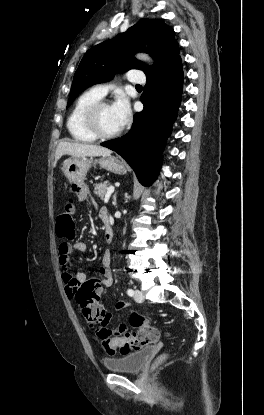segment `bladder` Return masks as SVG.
Here are the masks:
<instances>
[{
  "label": "bladder",
  "mask_w": 264,
  "mask_h": 415,
  "mask_svg": "<svg viewBox=\"0 0 264 415\" xmlns=\"http://www.w3.org/2000/svg\"><path fill=\"white\" fill-rule=\"evenodd\" d=\"M155 350V345L146 346L119 358H106L103 364L107 370L113 372L138 373L142 370Z\"/></svg>",
  "instance_id": "31cf9c89"
}]
</instances>
